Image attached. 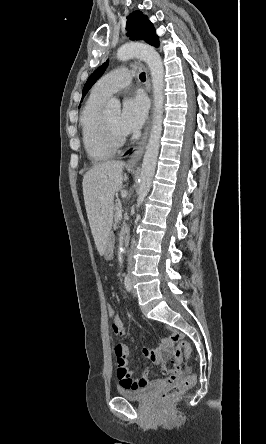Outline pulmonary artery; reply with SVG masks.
I'll list each match as a JSON object with an SVG mask.
<instances>
[{"mask_svg":"<svg viewBox=\"0 0 266 444\" xmlns=\"http://www.w3.org/2000/svg\"><path fill=\"white\" fill-rule=\"evenodd\" d=\"M135 75L134 70L117 68L104 75L94 86L93 92L105 97L127 87Z\"/></svg>","mask_w":266,"mask_h":444,"instance_id":"pulmonary-artery-1","label":"pulmonary artery"}]
</instances>
